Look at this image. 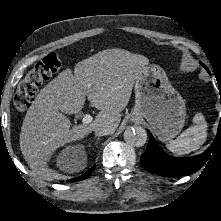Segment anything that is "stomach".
<instances>
[{"mask_svg":"<svg viewBox=\"0 0 221 221\" xmlns=\"http://www.w3.org/2000/svg\"><path fill=\"white\" fill-rule=\"evenodd\" d=\"M134 84L132 117H144L160 141L172 140L185 124L186 106L182 96L157 65L145 66Z\"/></svg>","mask_w":221,"mask_h":221,"instance_id":"1","label":"stomach"}]
</instances>
